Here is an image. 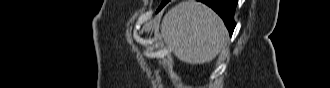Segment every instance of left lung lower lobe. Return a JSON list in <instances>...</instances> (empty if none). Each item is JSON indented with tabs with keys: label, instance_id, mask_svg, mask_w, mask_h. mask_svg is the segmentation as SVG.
<instances>
[{
	"label": "left lung lower lobe",
	"instance_id": "0a47b994",
	"mask_svg": "<svg viewBox=\"0 0 330 88\" xmlns=\"http://www.w3.org/2000/svg\"><path fill=\"white\" fill-rule=\"evenodd\" d=\"M170 0H162L157 12H159ZM211 7L224 21L230 36L232 35L236 23L234 13L238 0H198Z\"/></svg>",
	"mask_w": 330,
	"mask_h": 88
}]
</instances>
